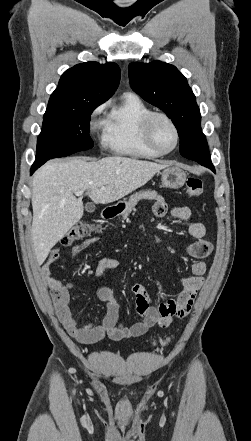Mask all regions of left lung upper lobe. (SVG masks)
Masks as SVG:
<instances>
[{"label": "left lung upper lobe", "mask_w": 251, "mask_h": 441, "mask_svg": "<svg viewBox=\"0 0 251 441\" xmlns=\"http://www.w3.org/2000/svg\"><path fill=\"white\" fill-rule=\"evenodd\" d=\"M128 70L133 91L172 119L180 137L181 155L197 162L203 159L193 144L202 133L200 110L186 78L175 66L161 61L131 63Z\"/></svg>", "instance_id": "1"}]
</instances>
